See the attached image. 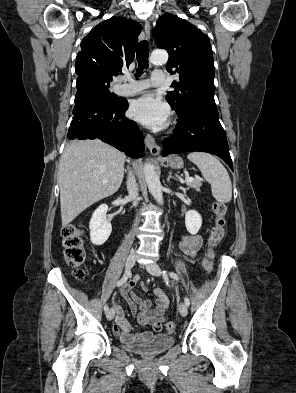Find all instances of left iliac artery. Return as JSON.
I'll list each match as a JSON object with an SVG mask.
<instances>
[{
  "mask_svg": "<svg viewBox=\"0 0 296 393\" xmlns=\"http://www.w3.org/2000/svg\"><path fill=\"white\" fill-rule=\"evenodd\" d=\"M167 275H169L172 279H174V280H176V281L179 280V277H178V275H177L175 272L163 271V276L167 277ZM184 302H185L186 306L189 307V305H190V300H189V298H188L187 296H185Z\"/></svg>",
  "mask_w": 296,
  "mask_h": 393,
  "instance_id": "left-iliac-artery-1",
  "label": "left iliac artery"
}]
</instances>
